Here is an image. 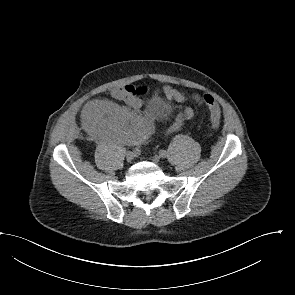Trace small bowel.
Masks as SVG:
<instances>
[{
	"mask_svg": "<svg viewBox=\"0 0 295 295\" xmlns=\"http://www.w3.org/2000/svg\"><path fill=\"white\" fill-rule=\"evenodd\" d=\"M164 95L173 101L183 103L187 96L170 85L162 88ZM147 93L144 86L131 84L118 86L112 89L111 95L118 100L124 101L132 110L119 108L115 104L105 100H95L86 104L82 111L85 124L102 137L121 143L139 144L145 141L153 132L154 126L148 114H141L139 109L143 106V96ZM158 97V93H155ZM192 99L199 105L204 103L203 97L197 93ZM194 115L190 107H181V112L175 123L170 128L171 132L177 131L184 120ZM219 123H212L214 128Z\"/></svg>",
	"mask_w": 295,
	"mask_h": 295,
	"instance_id": "1",
	"label": "small bowel"
}]
</instances>
